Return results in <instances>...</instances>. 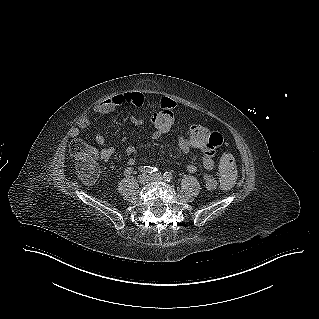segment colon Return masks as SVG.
Listing matches in <instances>:
<instances>
[{
	"label": "colon",
	"instance_id": "obj_1",
	"mask_svg": "<svg viewBox=\"0 0 319 319\" xmlns=\"http://www.w3.org/2000/svg\"><path fill=\"white\" fill-rule=\"evenodd\" d=\"M175 122L176 119L173 113H155L152 110L146 124L150 132L160 135L172 130ZM210 137L207 127L198 121L188 123L182 132L184 143L194 151L203 150V145L211 141ZM71 151L77 160V174L81 181L87 185L95 183L100 172L95 148L86 144L81 139H76L71 145ZM219 171L222 188H230L235 181L237 172L234 156L231 153H223L219 164Z\"/></svg>",
	"mask_w": 319,
	"mask_h": 319
}]
</instances>
